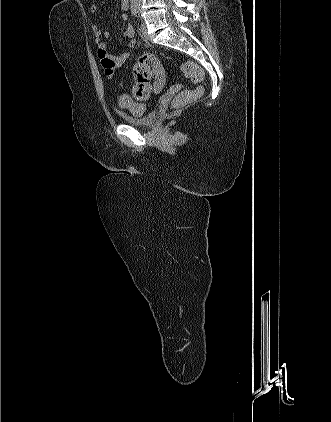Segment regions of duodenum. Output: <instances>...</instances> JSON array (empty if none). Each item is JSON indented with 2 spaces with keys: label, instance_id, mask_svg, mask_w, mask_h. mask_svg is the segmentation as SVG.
Wrapping results in <instances>:
<instances>
[{
  "label": "duodenum",
  "instance_id": "obj_1",
  "mask_svg": "<svg viewBox=\"0 0 331 422\" xmlns=\"http://www.w3.org/2000/svg\"><path fill=\"white\" fill-rule=\"evenodd\" d=\"M130 0H121V2H122V4H123V7L125 8V9H128L129 8V2Z\"/></svg>",
  "mask_w": 331,
  "mask_h": 422
}]
</instances>
